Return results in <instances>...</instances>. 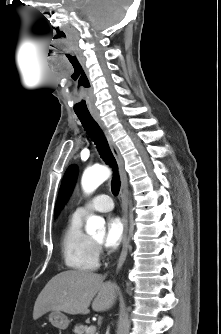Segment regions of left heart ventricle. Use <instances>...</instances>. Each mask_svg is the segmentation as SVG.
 Here are the masks:
<instances>
[{
	"instance_id": "obj_1",
	"label": "left heart ventricle",
	"mask_w": 221,
	"mask_h": 334,
	"mask_svg": "<svg viewBox=\"0 0 221 334\" xmlns=\"http://www.w3.org/2000/svg\"><path fill=\"white\" fill-rule=\"evenodd\" d=\"M97 241H100V239L98 238V239H96Z\"/></svg>"
}]
</instances>
